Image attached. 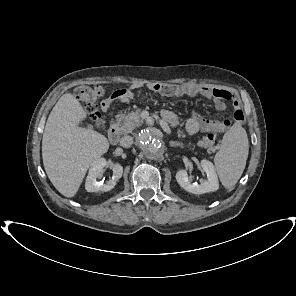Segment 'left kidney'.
I'll use <instances>...</instances> for the list:
<instances>
[{"label": "left kidney", "mask_w": 296, "mask_h": 296, "mask_svg": "<svg viewBox=\"0 0 296 296\" xmlns=\"http://www.w3.org/2000/svg\"><path fill=\"white\" fill-rule=\"evenodd\" d=\"M200 167L207 175V179L205 181L201 182V184L191 183L188 178L187 171L179 170L176 173V180L178 184L186 191L199 195L218 190L219 182L213 164L208 160H202Z\"/></svg>", "instance_id": "5707ae66"}]
</instances>
